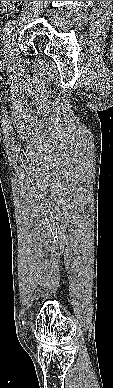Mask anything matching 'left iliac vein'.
<instances>
[{
  "mask_svg": "<svg viewBox=\"0 0 113 388\" xmlns=\"http://www.w3.org/2000/svg\"><path fill=\"white\" fill-rule=\"evenodd\" d=\"M13 40H14V36H13V35L9 36V37L6 39L4 45H3L2 49H1V52H0V55H1L2 57H7L8 54L10 53L11 46H12V44H13Z\"/></svg>",
  "mask_w": 113,
  "mask_h": 388,
  "instance_id": "4c4485c4",
  "label": "left iliac vein"
}]
</instances>
